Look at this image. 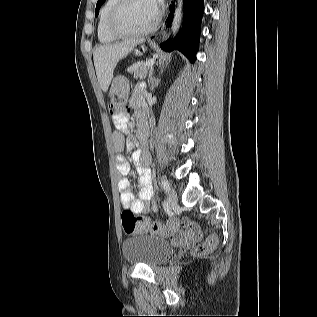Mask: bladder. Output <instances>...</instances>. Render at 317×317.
Instances as JSON below:
<instances>
[{
  "instance_id": "obj_1",
  "label": "bladder",
  "mask_w": 317,
  "mask_h": 317,
  "mask_svg": "<svg viewBox=\"0 0 317 317\" xmlns=\"http://www.w3.org/2000/svg\"><path fill=\"white\" fill-rule=\"evenodd\" d=\"M122 251L130 263H142L154 266L167 261L174 254V247L163 238L140 234L124 240Z\"/></svg>"
}]
</instances>
